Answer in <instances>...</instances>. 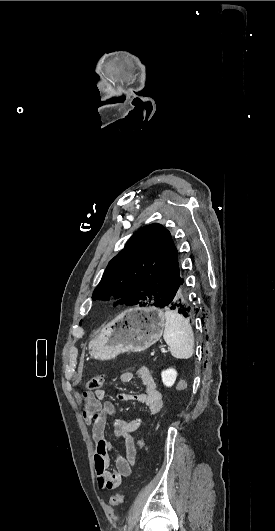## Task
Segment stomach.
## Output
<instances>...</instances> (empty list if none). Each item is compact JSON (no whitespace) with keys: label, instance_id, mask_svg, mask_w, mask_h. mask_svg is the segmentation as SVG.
I'll return each mask as SVG.
<instances>
[{"label":"stomach","instance_id":"1","mask_svg":"<svg viewBox=\"0 0 275 531\" xmlns=\"http://www.w3.org/2000/svg\"><path fill=\"white\" fill-rule=\"evenodd\" d=\"M164 327L162 309H127L90 341L89 355L97 361H111L121 353H141L161 339Z\"/></svg>","mask_w":275,"mask_h":531}]
</instances>
